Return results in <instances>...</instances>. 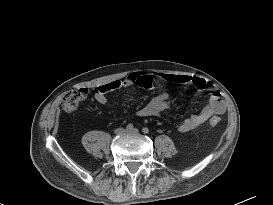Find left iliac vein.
Instances as JSON below:
<instances>
[{
  "mask_svg": "<svg viewBox=\"0 0 273 205\" xmlns=\"http://www.w3.org/2000/svg\"><path fill=\"white\" fill-rule=\"evenodd\" d=\"M138 132H139V130L136 128L127 131V133H130V134H137Z\"/></svg>",
  "mask_w": 273,
  "mask_h": 205,
  "instance_id": "obj_1",
  "label": "left iliac vein"
}]
</instances>
